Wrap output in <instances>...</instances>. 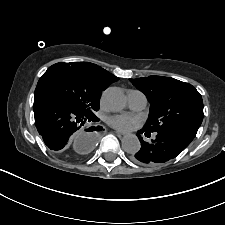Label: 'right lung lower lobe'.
Instances as JSON below:
<instances>
[{"mask_svg":"<svg viewBox=\"0 0 225 225\" xmlns=\"http://www.w3.org/2000/svg\"><path fill=\"white\" fill-rule=\"evenodd\" d=\"M33 111L37 131L44 143L53 151L64 152L70 140L86 122H97V117H89L81 113L63 98L45 88H36ZM90 127L88 132L99 130ZM89 147L95 142L94 133H87ZM71 157V156H70Z\"/></svg>","mask_w":225,"mask_h":225,"instance_id":"1","label":"right lung lower lobe"}]
</instances>
